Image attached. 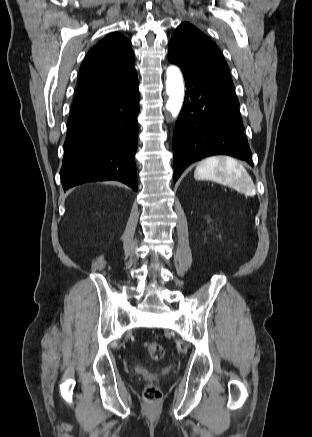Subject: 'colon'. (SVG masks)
I'll return each instance as SVG.
<instances>
[{
  "instance_id": "obj_1",
  "label": "colon",
  "mask_w": 312,
  "mask_h": 437,
  "mask_svg": "<svg viewBox=\"0 0 312 437\" xmlns=\"http://www.w3.org/2000/svg\"><path fill=\"white\" fill-rule=\"evenodd\" d=\"M145 350L149 357L154 361L163 359L165 354L163 346L158 342L147 341L145 343ZM143 396L146 401L155 402L160 400L161 392L156 385L150 384L144 389Z\"/></svg>"
}]
</instances>
